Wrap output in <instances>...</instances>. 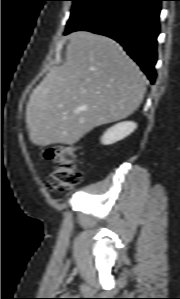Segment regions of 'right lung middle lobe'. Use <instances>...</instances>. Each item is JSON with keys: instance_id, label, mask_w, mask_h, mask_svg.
<instances>
[{"instance_id": "dd1d6c3e", "label": "right lung middle lobe", "mask_w": 180, "mask_h": 299, "mask_svg": "<svg viewBox=\"0 0 180 299\" xmlns=\"http://www.w3.org/2000/svg\"><path fill=\"white\" fill-rule=\"evenodd\" d=\"M73 2L71 16L68 20L67 27L74 24L77 20L89 13L93 8L104 0H70Z\"/></svg>"}]
</instances>
